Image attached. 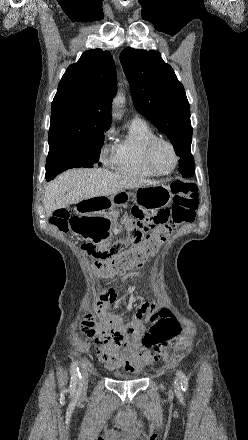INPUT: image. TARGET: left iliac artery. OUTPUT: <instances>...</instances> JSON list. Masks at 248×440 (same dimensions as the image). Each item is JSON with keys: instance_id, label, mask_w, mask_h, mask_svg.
Here are the masks:
<instances>
[{"instance_id": "obj_1", "label": "left iliac artery", "mask_w": 248, "mask_h": 440, "mask_svg": "<svg viewBox=\"0 0 248 440\" xmlns=\"http://www.w3.org/2000/svg\"><path fill=\"white\" fill-rule=\"evenodd\" d=\"M180 380L181 389L185 392L188 388V378L182 371H177L175 384Z\"/></svg>"}]
</instances>
